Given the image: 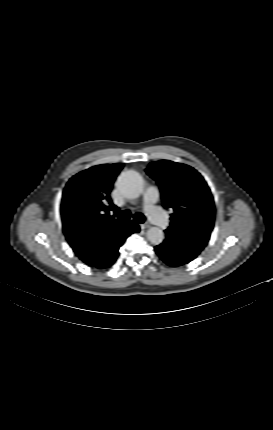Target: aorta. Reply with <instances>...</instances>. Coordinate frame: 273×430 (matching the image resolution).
Listing matches in <instances>:
<instances>
[{
  "label": "aorta",
  "mask_w": 273,
  "mask_h": 430,
  "mask_svg": "<svg viewBox=\"0 0 273 430\" xmlns=\"http://www.w3.org/2000/svg\"><path fill=\"white\" fill-rule=\"evenodd\" d=\"M117 187L121 193L130 199L140 196L144 188L141 175L133 170L122 172L117 179ZM147 239L153 245H159L164 240V232L158 227H151L147 231Z\"/></svg>",
  "instance_id": "obj_1"
}]
</instances>
